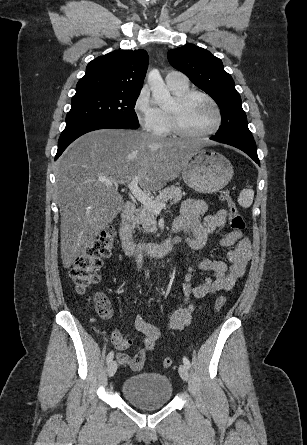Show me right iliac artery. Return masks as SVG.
<instances>
[{
  "instance_id": "obj_1",
  "label": "right iliac artery",
  "mask_w": 307,
  "mask_h": 445,
  "mask_svg": "<svg viewBox=\"0 0 307 445\" xmlns=\"http://www.w3.org/2000/svg\"><path fill=\"white\" fill-rule=\"evenodd\" d=\"M113 357H114V353H113V351H111V352L107 355L106 362L109 364V363L113 360Z\"/></svg>"
}]
</instances>
